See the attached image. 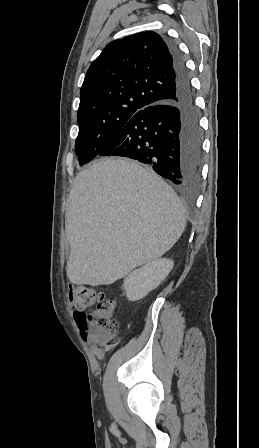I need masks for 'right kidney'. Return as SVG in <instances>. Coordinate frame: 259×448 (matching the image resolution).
<instances>
[{"mask_svg":"<svg viewBox=\"0 0 259 448\" xmlns=\"http://www.w3.org/2000/svg\"><path fill=\"white\" fill-rule=\"evenodd\" d=\"M173 266L174 264L171 260L160 258V260H154V262L145 264V266H142L139 270L131 272V274L125 278L123 284L128 300H130V302L142 300L144 296H147L149 292L155 290V288L167 278Z\"/></svg>","mask_w":259,"mask_h":448,"instance_id":"ca27d5eb","label":"right kidney"}]
</instances>
